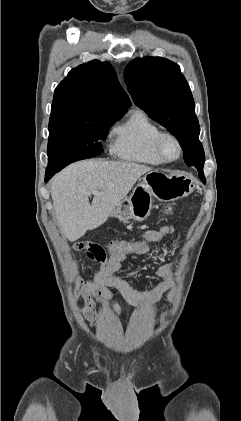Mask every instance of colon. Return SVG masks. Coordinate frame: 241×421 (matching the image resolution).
I'll list each match as a JSON object with an SVG mask.
<instances>
[{
	"label": "colon",
	"instance_id": "obj_1",
	"mask_svg": "<svg viewBox=\"0 0 241 421\" xmlns=\"http://www.w3.org/2000/svg\"><path fill=\"white\" fill-rule=\"evenodd\" d=\"M172 208H169L170 212ZM75 249L85 251L87 256L96 262H104L109 255H141L150 249V244L140 240H113L106 245L96 242H79L75 245Z\"/></svg>",
	"mask_w": 241,
	"mask_h": 421
}]
</instances>
